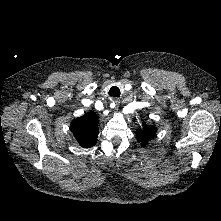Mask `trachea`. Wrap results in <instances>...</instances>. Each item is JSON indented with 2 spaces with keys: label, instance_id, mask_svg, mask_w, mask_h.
Listing matches in <instances>:
<instances>
[{
  "label": "trachea",
  "instance_id": "obj_1",
  "mask_svg": "<svg viewBox=\"0 0 221 221\" xmlns=\"http://www.w3.org/2000/svg\"><path fill=\"white\" fill-rule=\"evenodd\" d=\"M108 94L112 97H119L121 92L120 89L117 86H113L110 88Z\"/></svg>",
  "mask_w": 221,
  "mask_h": 221
}]
</instances>
